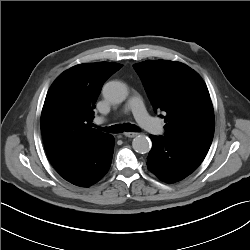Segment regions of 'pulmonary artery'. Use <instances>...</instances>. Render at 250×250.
<instances>
[{"instance_id": "e3ab8cb5", "label": "pulmonary artery", "mask_w": 250, "mask_h": 250, "mask_svg": "<svg viewBox=\"0 0 250 250\" xmlns=\"http://www.w3.org/2000/svg\"><path fill=\"white\" fill-rule=\"evenodd\" d=\"M126 108L131 110L134 118L141 127L157 135L164 134L165 130L163 126L147 113L142 100L138 96L131 97L127 102ZM99 121L102 122L103 120L100 119Z\"/></svg>"}]
</instances>
